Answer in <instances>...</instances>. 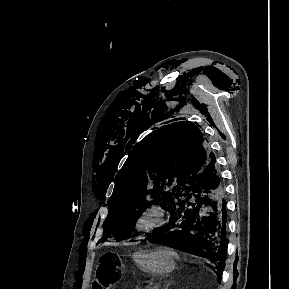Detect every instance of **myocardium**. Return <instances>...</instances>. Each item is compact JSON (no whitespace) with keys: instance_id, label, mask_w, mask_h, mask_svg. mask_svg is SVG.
<instances>
[{"instance_id":"myocardium-1","label":"myocardium","mask_w":289,"mask_h":289,"mask_svg":"<svg viewBox=\"0 0 289 289\" xmlns=\"http://www.w3.org/2000/svg\"><path fill=\"white\" fill-rule=\"evenodd\" d=\"M148 217H153L154 221L147 226H143L142 221ZM166 218H167V211L165 210V208L162 207L161 205L153 204L145 208L140 213V215L138 216L135 222V229L138 232H142V233L152 232L160 228L161 226H163L164 223L166 222Z\"/></svg>"}]
</instances>
